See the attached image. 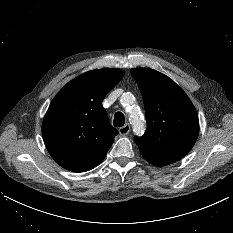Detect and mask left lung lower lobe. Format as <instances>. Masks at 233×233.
<instances>
[{
    "label": "left lung lower lobe",
    "instance_id": "0a47b994",
    "mask_svg": "<svg viewBox=\"0 0 233 233\" xmlns=\"http://www.w3.org/2000/svg\"><path fill=\"white\" fill-rule=\"evenodd\" d=\"M143 157L150 162L151 164L155 165V166H166L169 165L171 163H174L172 161H168V160H164V159H157V158H153V157H147L145 155H143Z\"/></svg>",
    "mask_w": 233,
    "mask_h": 233
}]
</instances>
